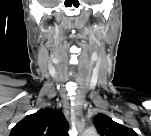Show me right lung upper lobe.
<instances>
[{
    "label": "right lung upper lobe",
    "instance_id": "1",
    "mask_svg": "<svg viewBox=\"0 0 151 136\" xmlns=\"http://www.w3.org/2000/svg\"><path fill=\"white\" fill-rule=\"evenodd\" d=\"M66 134L63 115L59 110L40 109L27 115L12 129V136H63Z\"/></svg>",
    "mask_w": 151,
    "mask_h": 136
}]
</instances>
